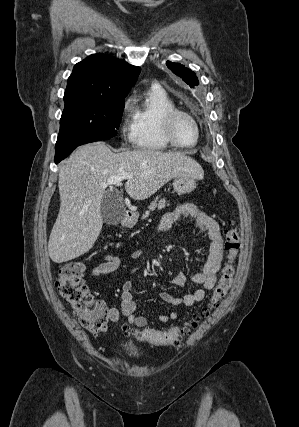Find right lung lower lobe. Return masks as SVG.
<instances>
[{
    "instance_id": "98d812e1",
    "label": "right lung lower lobe",
    "mask_w": 299,
    "mask_h": 427,
    "mask_svg": "<svg viewBox=\"0 0 299 427\" xmlns=\"http://www.w3.org/2000/svg\"><path fill=\"white\" fill-rule=\"evenodd\" d=\"M90 142H94V141H82V142H76L73 143L71 145L65 146L63 148L57 149L55 150V163H59L61 160L65 159L76 147L82 145V144H86V143H90Z\"/></svg>"
}]
</instances>
